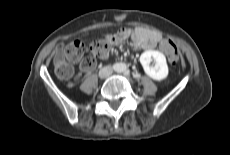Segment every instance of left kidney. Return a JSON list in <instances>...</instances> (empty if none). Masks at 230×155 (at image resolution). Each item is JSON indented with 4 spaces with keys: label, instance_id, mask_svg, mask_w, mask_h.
Listing matches in <instances>:
<instances>
[{
    "label": "left kidney",
    "instance_id": "left-kidney-1",
    "mask_svg": "<svg viewBox=\"0 0 230 155\" xmlns=\"http://www.w3.org/2000/svg\"><path fill=\"white\" fill-rule=\"evenodd\" d=\"M154 60L155 65L150 66V62ZM140 63L145 73L156 81H162L168 76V65L166 57L163 53L155 50H147L140 56Z\"/></svg>",
    "mask_w": 230,
    "mask_h": 155
}]
</instances>
